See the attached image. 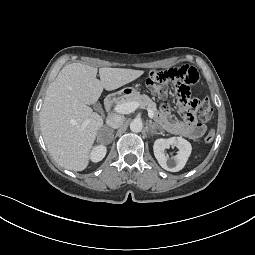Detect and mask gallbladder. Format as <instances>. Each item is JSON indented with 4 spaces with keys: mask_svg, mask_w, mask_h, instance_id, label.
<instances>
[{
    "mask_svg": "<svg viewBox=\"0 0 255 255\" xmlns=\"http://www.w3.org/2000/svg\"><path fill=\"white\" fill-rule=\"evenodd\" d=\"M94 109H96V110H100V108H101V106L99 105V104H94Z\"/></svg>",
    "mask_w": 255,
    "mask_h": 255,
    "instance_id": "obj_1",
    "label": "gallbladder"
}]
</instances>
